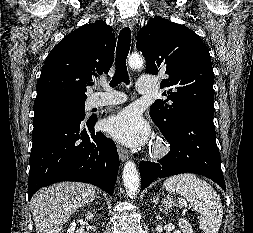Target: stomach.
I'll list each match as a JSON object with an SVG mask.
<instances>
[{"label": "stomach", "mask_w": 253, "mask_h": 233, "mask_svg": "<svg viewBox=\"0 0 253 233\" xmlns=\"http://www.w3.org/2000/svg\"><path fill=\"white\" fill-rule=\"evenodd\" d=\"M161 204L166 208H172L176 205L175 200L168 196L161 201Z\"/></svg>", "instance_id": "1"}]
</instances>
